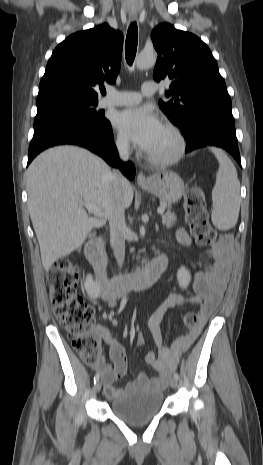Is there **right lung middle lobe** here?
Segmentation results:
<instances>
[{
  "mask_svg": "<svg viewBox=\"0 0 263 465\" xmlns=\"http://www.w3.org/2000/svg\"><path fill=\"white\" fill-rule=\"evenodd\" d=\"M98 99L77 96H57L37 101L34 127L53 120H73L99 127L109 124L101 111H96Z\"/></svg>",
  "mask_w": 263,
  "mask_h": 465,
  "instance_id": "right-lung-middle-lobe-1",
  "label": "right lung middle lobe"
}]
</instances>
